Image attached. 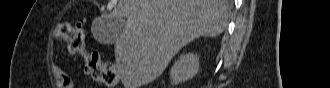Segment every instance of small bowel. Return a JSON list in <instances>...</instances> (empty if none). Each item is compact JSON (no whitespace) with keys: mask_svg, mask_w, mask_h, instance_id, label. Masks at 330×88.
I'll return each instance as SVG.
<instances>
[{"mask_svg":"<svg viewBox=\"0 0 330 88\" xmlns=\"http://www.w3.org/2000/svg\"><path fill=\"white\" fill-rule=\"evenodd\" d=\"M51 74L56 79V86L60 88H73L74 82L70 76L58 67L51 69Z\"/></svg>","mask_w":330,"mask_h":88,"instance_id":"c3829d8e","label":"small bowel"}]
</instances>
